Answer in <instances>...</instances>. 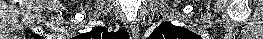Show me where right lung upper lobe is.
Segmentation results:
<instances>
[{
    "label": "right lung upper lobe",
    "mask_w": 263,
    "mask_h": 39,
    "mask_svg": "<svg viewBox=\"0 0 263 39\" xmlns=\"http://www.w3.org/2000/svg\"><path fill=\"white\" fill-rule=\"evenodd\" d=\"M101 35L103 38H112V37H116V39H120L121 35H128L125 31H118L116 33L114 32H111V33H108V29L105 28V27H97L95 29H93L91 32L89 33H86V36L84 38H89V39H93V38H101Z\"/></svg>",
    "instance_id": "cb5924a9"
}]
</instances>
